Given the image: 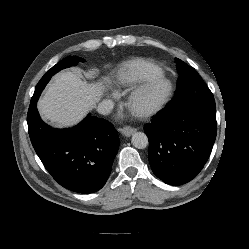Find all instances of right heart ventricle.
<instances>
[{
	"label": "right heart ventricle",
	"instance_id": "right-heart-ventricle-1",
	"mask_svg": "<svg viewBox=\"0 0 249 249\" xmlns=\"http://www.w3.org/2000/svg\"><path fill=\"white\" fill-rule=\"evenodd\" d=\"M162 75V69L155 63L145 59H135L120 70L116 77V86L128 88Z\"/></svg>",
	"mask_w": 249,
	"mask_h": 249
}]
</instances>
